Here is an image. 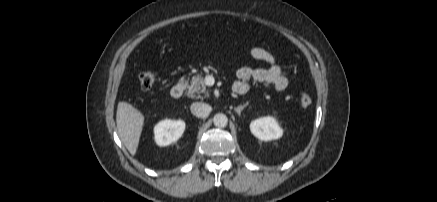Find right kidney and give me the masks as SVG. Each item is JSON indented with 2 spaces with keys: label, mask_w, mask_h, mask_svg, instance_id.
<instances>
[{
  "label": "right kidney",
  "mask_w": 437,
  "mask_h": 202,
  "mask_svg": "<svg viewBox=\"0 0 437 202\" xmlns=\"http://www.w3.org/2000/svg\"><path fill=\"white\" fill-rule=\"evenodd\" d=\"M185 130V122L182 120L166 119L160 121L154 127L155 142L159 146H168L176 142Z\"/></svg>",
  "instance_id": "right-kidney-1"
}]
</instances>
